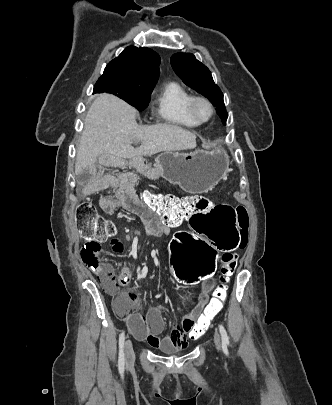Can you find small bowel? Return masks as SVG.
<instances>
[{
    "instance_id": "1",
    "label": "small bowel",
    "mask_w": 332,
    "mask_h": 405,
    "mask_svg": "<svg viewBox=\"0 0 332 405\" xmlns=\"http://www.w3.org/2000/svg\"><path fill=\"white\" fill-rule=\"evenodd\" d=\"M134 164L139 170H144L149 167L145 164V159L141 156L134 160ZM100 162H91L89 168H83L82 172L75 177V186H99L100 177L103 175ZM136 171H127V168H107L105 176V184L109 190L115 189L116 192L104 194V198L98 204V209L103 211L104 215H128L129 213L138 216L146 227V232L149 236L159 237L167 235L170 230L176 227L181 220L163 223L161 220L153 221L151 212H145L141 206V199L132 186V180L137 179ZM115 177H123L118 182ZM173 240V239H172ZM240 241V235H239ZM133 257L137 259V255ZM109 271L108 266H103L98 270L99 278L104 283L103 274ZM131 277V271L128 267H123L119 281L125 284ZM214 288V281L210 275L209 281L201 283V291L194 300L185 298L178 305L180 311H189L182 320L181 327H177L170 335L160 337L164 329L163 307L155 306L148 310L146 315L132 313L123 315L116 308V312L120 316H126V322L133 336L141 341H146L151 347L166 351L167 353H176L178 349L185 348L189 341V330L194 329V324L197 322L199 311L206 307L209 301V294ZM139 301L135 299L132 309L137 308ZM131 309V310H132ZM204 333V331H203Z\"/></svg>"
}]
</instances>
